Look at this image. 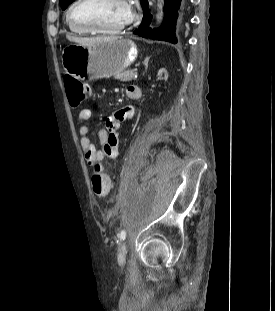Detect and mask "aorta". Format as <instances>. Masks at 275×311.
Masks as SVG:
<instances>
[{"mask_svg":"<svg viewBox=\"0 0 275 311\" xmlns=\"http://www.w3.org/2000/svg\"><path fill=\"white\" fill-rule=\"evenodd\" d=\"M163 3H164V0H158V13L156 16V19L158 22H161L163 18Z\"/></svg>","mask_w":275,"mask_h":311,"instance_id":"obj_1","label":"aorta"}]
</instances>
